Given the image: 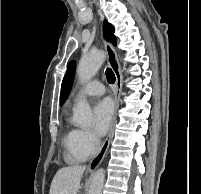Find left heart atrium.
<instances>
[{"label":"left heart atrium","mask_w":201,"mask_h":194,"mask_svg":"<svg viewBox=\"0 0 201 194\" xmlns=\"http://www.w3.org/2000/svg\"><path fill=\"white\" fill-rule=\"evenodd\" d=\"M114 106L111 100L103 99L99 101L93 110L94 130L98 135H104L113 120Z\"/></svg>","instance_id":"39dd6f15"}]
</instances>
